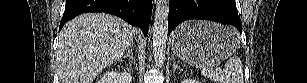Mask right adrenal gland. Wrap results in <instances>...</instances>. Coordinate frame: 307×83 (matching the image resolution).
I'll return each instance as SVG.
<instances>
[{
	"mask_svg": "<svg viewBox=\"0 0 307 83\" xmlns=\"http://www.w3.org/2000/svg\"><path fill=\"white\" fill-rule=\"evenodd\" d=\"M123 58H129L133 61V49L132 47L128 49V54L124 55Z\"/></svg>",
	"mask_w": 307,
	"mask_h": 83,
	"instance_id": "2a0ac1e0",
	"label": "right adrenal gland"
}]
</instances>
